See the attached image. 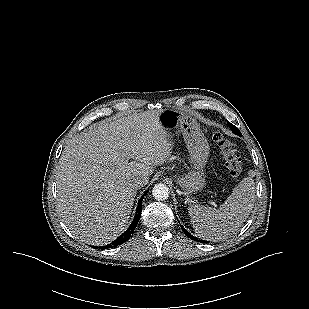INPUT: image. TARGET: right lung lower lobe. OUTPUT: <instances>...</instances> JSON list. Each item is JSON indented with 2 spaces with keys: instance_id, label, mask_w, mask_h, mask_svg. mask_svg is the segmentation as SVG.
Instances as JSON below:
<instances>
[{
  "instance_id": "obj_1",
  "label": "right lung lower lobe",
  "mask_w": 309,
  "mask_h": 309,
  "mask_svg": "<svg viewBox=\"0 0 309 309\" xmlns=\"http://www.w3.org/2000/svg\"><path fill=\"white\" fill-rule=\"evenodd\" d=\"M148 192V191H147ZM147 192H145L143 194V196L139 199V202H138V206H137V210H136V213H135V217H134V220L132 221V223L130 224L129 228L121 235L119 236L115 241H113L112 243L106 245V246H103L101 248L103 249H108V248H113V247H116L118 245H121L123 244L124 242H126L131 234L133 233V231L135 230L136 226H137V223L140 219V216H141V210H142V199L144 198V196L147 194Z\"/></svg>"
}]
</instances>
